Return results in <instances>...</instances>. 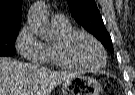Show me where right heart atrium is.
I'll list each match as a JSON object with an SVG mask.
<instances>
[{"label": "right heart atrium", "instance_id": "d8ad5b80", "mask_svg": "<svg viewBox=\"0 0 135 95\" xmlns=\"http://www.w3.org/2000/svg\"><path fill=\"white\" fill-rule=\"evenodd\" d=\"M15 46L18 52L29 61L43 63L47 59L45 44L34 35L30 26L20 29Z\"/></svg>", "mask_w": 135, "mask_h": 95}]
</instances>
